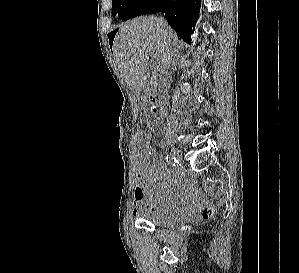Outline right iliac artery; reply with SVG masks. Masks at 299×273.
<instances>
[{"instance_id":"right-iliac-artery-1","label":"right iliac artery","mask_w":299,"mask_h":273,"mask_svg":"<svg viewBox=\"0 0 299 273\" xmlns=\"http://www.w3.org/2000/svg\"><path fill=\"white\" fill-rule=\"evenodd\" d=\"M166 160L167 162L171 165V166H175L176 163V158L171 156V155H167L166 156Z\"/></svg>"}]
</instances>
